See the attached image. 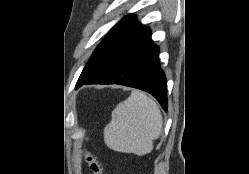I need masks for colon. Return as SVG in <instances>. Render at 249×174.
I'll list each match as a JSON object with an SVG mask.
<instances>
[{
    "instance_id": "5ec220e1",
    "label": "colon",
    "mask_w": 249,
    "mask_h": 174,
    "mask_svg": "<svg viewBox=\"0 0 249 174\" xmlns=\"http://www.w3.org/2000/svg\"><path fill=\"white\" fill-rule=\"evenodd\" d=\"M86 161L89 165V169L93 174H102V166L98 157L89 150L84 149Z\"/></svg>"
}]
</instances>
